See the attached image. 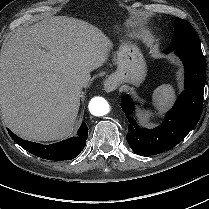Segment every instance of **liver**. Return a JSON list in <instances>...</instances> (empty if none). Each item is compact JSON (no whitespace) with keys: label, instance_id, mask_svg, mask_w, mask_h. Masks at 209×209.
Returning <instances> with one entry per match:
<instances>
[{"label":"liver","instance_id":"obj_1","mask_svg":"<svg viewBox=\"0 0 209 209\" xmlns=\"http://www.w3.org/2000/svg\"><path fill=\"white\" fill-rule=\"evenodd\" d=\"M111 43L92 24L53 16L19 28L0 54V105L7 126L34 141L70 135L80 106L77 82L108 58ZM42 48V49H41Z\"/></svg>","mask_w":209,"mask_h":209}]
</instances>
